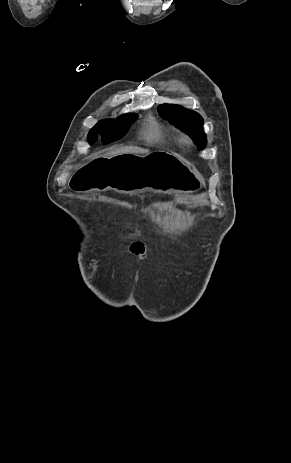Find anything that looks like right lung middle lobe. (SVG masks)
Returning a JSON list of instances; mask_svg holds the SVG:
<instances>
[{
  "label": "right lung middle lobe",
  "instance_id": "right-lung-middle-lobe-1",
  "mask_svg": "<svg viewBox=\"0 0 291 463\" xmlns=\"http://www.w3.org/2000/svg\"><path fill=\"white\" fill-rule=\"evenodd\" d=\"M136 117V114H125L117 119L98 122L88 134L89 143L92 145L96 142L98 133L102 136L103 144H108L120 139L126 134L129 126L135 121Z\"/></svg>",
  "mask_w": 291,
  "mask_h": 463
}]
</instances>
